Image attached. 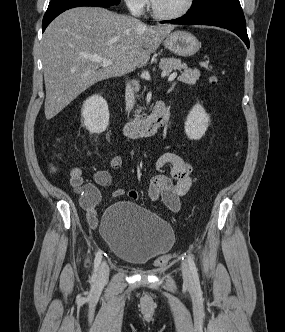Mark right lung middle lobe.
<instances>
[{"label": "right lung middle lobe", "instance_id": "obj_1", "mask_svg": "<svg viewBox=\"0 0 285 332\" xmlns=\"http://www.w3.org/2000/svg\"><path fill=\"white\" fill-rule=\"evenodd\" d=\"M55 1H64V0H51V3L55 2ZM94 1H99V2H102L105 4H110V5H117L120 3L121 0H94Z\"/></svg>", "mask_w": 285, "mask_h": 332}]
</instances>
